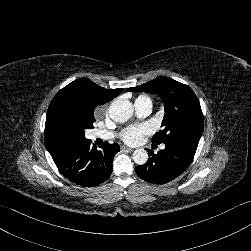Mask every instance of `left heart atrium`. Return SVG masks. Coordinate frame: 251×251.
<instances>
[{"mask_svg": "<svg viewBox=\"0 0 251 251\" xmlns=\"http://www.w3.org/2000/svg\"><path fill=\"white\" fill-rule=\"evenodd\" d=\"M153 131L150 124H142L137 126H128L121 130L120 138L123 142L131 144L140 142L146 135Z\"/></svg>", "mask_w": 251, "mask_h": 251, "instance_id": "39dd6f15", "label": "left heart atrium"}]
</instances>
